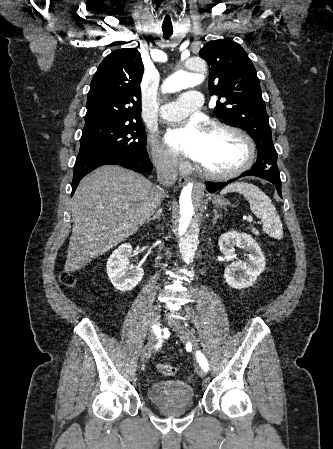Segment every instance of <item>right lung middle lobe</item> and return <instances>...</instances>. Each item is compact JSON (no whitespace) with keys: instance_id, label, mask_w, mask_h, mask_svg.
I'll return each instance as SVG.
<instances>
[{"instance_id":"obj_1","label":"right lung middle lobe","mask_w":333,"mask_h":449,"mask_svg":"<svg viewBox=\"0 0 333 449\" xmlns=\"http://www.w3.org/2000/svg\"><path fill=\"white\" fill-rule=\"evenodd\" d=\"M97 152L147 156L146 137L141 120L84 126L79 154Z\"/></svg>"}]
</instances>
